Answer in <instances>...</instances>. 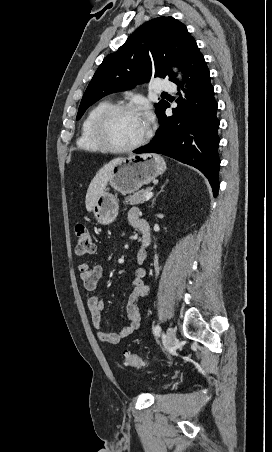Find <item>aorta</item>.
Here are the masks:
<instances>
[{
  "label": "aorta",
  "mask_w": 272,
  "mask_h": 452,
  "mask_svg": "<svg viewBox=\"0 0 272 452\" xmlns=\"http://www.w3.org/2000/svg\"><path fill=\"white\" fill-rule=\"evenodd\" d=\"M175 71H177L176 69H174ZM178 78H181V75H180V73H178Z\"/></svg>",
  "instance_id": "762f6f07"
}]
</instances>
